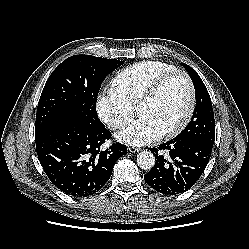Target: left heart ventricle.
Returning <instances> with one entry per match:
<instances>
[{
  "label": "left heart ventricle",
  "mask_w": 249,
  "mask_h": 249,
  "mask_svg": "<svg viewBox=\"0 0 249 249\" xmlns=\"http://www.w3.org/2000/svg\"><path fill=\"white\" fill-rule=\"evenodd\" d=\"M188 88L181 76L168 80L157 96L137 108L139 116L152 119L163 132L176 126L188 107Z\"/></svg>",
  "instance_id": "left-heart-ventricle-1"
}]
</instances>
